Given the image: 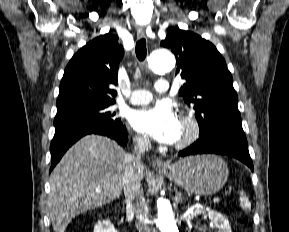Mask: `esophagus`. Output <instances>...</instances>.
<instances>
[{
  "label": "esophagus",
  "instance_id": "1",
  "mask_svg": "<svg viewBox=\"0 0 289 232\" xmlns=\"http://www.w3.org/2000/svg\"><path fill=\"white\" fill-rule=\"evenodd\" d=\"M137 36L139 38H145L146 34H145V29L143 27H139L137 30ZM153 167L156 170H165L167 169L168 165L161 159V158H156L153 161Z\"/></svg>",
  "mask_w": 289,
  "mask_h": 232
}]
</instances>
